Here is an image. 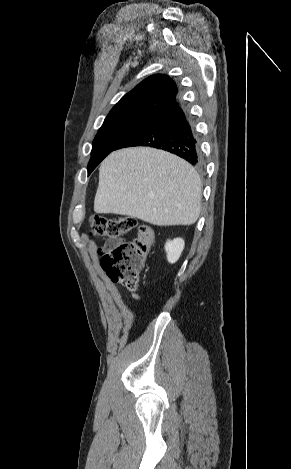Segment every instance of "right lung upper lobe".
<instances>
[{"label": "right lung upper lobe", "mask_w": 291, "mask_h": 469, "mask_svg": "<svg viewBox=\"0 0 291 469\" xmlns=\"http://www.w3.org/2000/svg\"><path fill=\"white\" fill-rule=\"evenodd\" d=\"M177 94V86L170 77L163 74L152 75L124 95L109 114L138 111L154 115L175 101Z\"/></svg>", "instance_id": "1"}]
</instances>
